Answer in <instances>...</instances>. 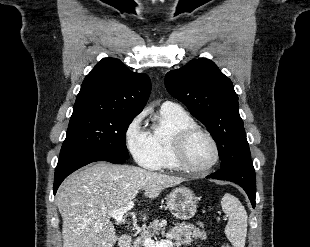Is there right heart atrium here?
<instances>
[{"instance_id": "obj_1", "label": "right heart atrium", "mask_w": 310, "mask_h": 247, "mask_svg": "<svg viewBox=\"0 0 310 247\" xmlns=\"http://www.w3.org/2000/svg\"><path fill=\"white\" fill-rule=\"evenodd\" d=\"M146 112H141L129 123L125 130L124 138L126 146L140 165L151 168L156 165L153 155L150 133L143 127Z\"/></svg>"}]
</instances>
